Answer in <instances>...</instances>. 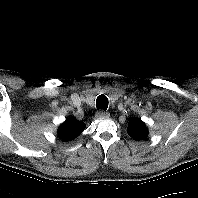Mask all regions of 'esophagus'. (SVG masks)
Segmentation results:
<instances>
[{"label":"esophagus","mask_w":198,"mask_h":198,"mask_svg":"<svg viewBox=\"0 0 198 198\" xmlns=\"http://www.w3.org/2000/svg\"><path fill=\"white\" fill-rule=\"evenodd\" d=\"M110 116V114L108 112H105L103 110H100L96 113V118L97 119H105L108 118Z\"/></svg>","instance_id":"esophagus-1"}]
</instances>
